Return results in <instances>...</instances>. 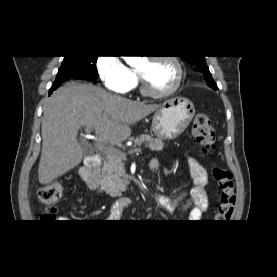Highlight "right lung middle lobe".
I'll use <instances>...</instances> for the list:
<instances>
[{
  "mask_svg": "<svg viewBox=\"0 0 277 277\" xmlns=\"http://www.w3.org/2000/svg\"><path fill=\"white\" fill-rule=\"evenodd\" d=\"M97 57L98 56H64L58 74L70 72L87 77L94 82L97 77Z\"/></svg>",
  "mask_w": 277,
  "mask_h": 277,
  "instance_id": "dd1d6c3e",
  "label": "right lung middle lobe"
}]
</instances>
